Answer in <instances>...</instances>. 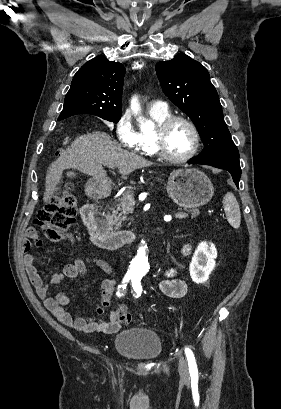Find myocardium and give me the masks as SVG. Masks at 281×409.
I'll use <instances>...</instances> for the list:
<instances>
[{
	"label": "myocardium",
	"instance_id": "1",
	"mask_svg": "<svg viewBox=\"0 0 281 409\" xmlns=\"http://www.w3.org/2000/svg\"><path fill=\"white\" fill-rule=\"evenodd\" d=\"M176 122H182L188 126L193 136V147L192 149L183 156L176 157L170 155L164 145L165 136L169 128ZM152 147L155 154L166 161L173 163H182L193 158L199 150L200 147V134L196 125L186 116L183 115H171L164 119L162 122L157 123L150 130Z\"/></svg>",
	"mask_w": 281,
	"mask_h": 409
}]
</instances>
